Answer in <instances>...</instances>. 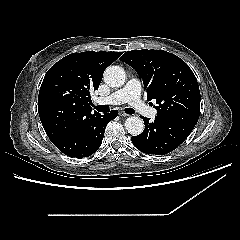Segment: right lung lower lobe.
<instances>
[{"label":"right lung lower lobe","instance_id":"98d812e1","mask_svg":"<svg viewBox=\"0 0 240 240\" xmlns=\"http://www.w3.org/2000/svg\"><path fill=\"white\" fill-rule=\"evenodd\" d=\"M117 117L116 110L104 115H97L88 123L67 136L53 141L52 143L69 157L83 158L95 153L100 147L106 125Z\"/></svg>","mask_w":240,"mask_h":240}]
</instances>
